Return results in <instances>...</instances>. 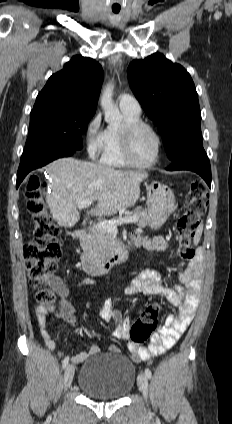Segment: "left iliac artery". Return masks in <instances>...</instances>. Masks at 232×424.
<instances>
[{
	"label": "left iliac artery",
	"mask_w": 232,
	"mask_h": 424,
	"mask_svg": "<svg viewBox=\"0 0 232 424\" xmlns=\"http://www.w3.org/2000/svg\"><path fill=\"white\" fill-rule=\"evenodd\" d=\"M145 374H146V376H147L149 379L152 377L151 370H150V369H148V368H146V369H145Z\"/></svg>",
	"instance_id": "left-iliac-artery-1"
}]
</instances>
